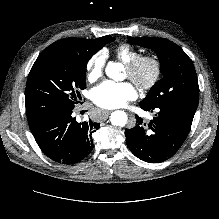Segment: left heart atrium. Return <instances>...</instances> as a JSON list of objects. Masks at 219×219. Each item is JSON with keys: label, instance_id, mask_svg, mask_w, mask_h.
<instances>
[{"label": "left heart atrium", "instance_id": "1", "mask_svg": "<svg viewBox=\"0 0 219 219\" xmlns=\"http://www.w3.org/2000/svg\"><path fill=\"white\" fill-rule=\"evenodd\" d=\"M136 96V89L129 82L105 81L95 87L92 92L94 103L104 109L123 107Z\"/></svg>", "mask_w": 219, "mask_h": 219}]
</instances>
